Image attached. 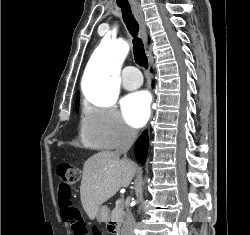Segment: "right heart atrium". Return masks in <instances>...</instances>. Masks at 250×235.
Masks as SVG:
<instances>
[{
    "label": "right heart atrium",
    "instance_id": "d8ad5b80",
    "mask_svg": "<svg viewBox=\"0 0 250 235\" xmlns=\"http://www.w3.org/2000/svg\"><path fill=\"white\" fill-rule=\"evenodd\" d=\"M79 133L85 144L101 149L127 146L137 136L115 107L90 104L84 107Z\"/></svg>",
    "mask_w": 250,
    "mask_h": 235
}]
</instances>
